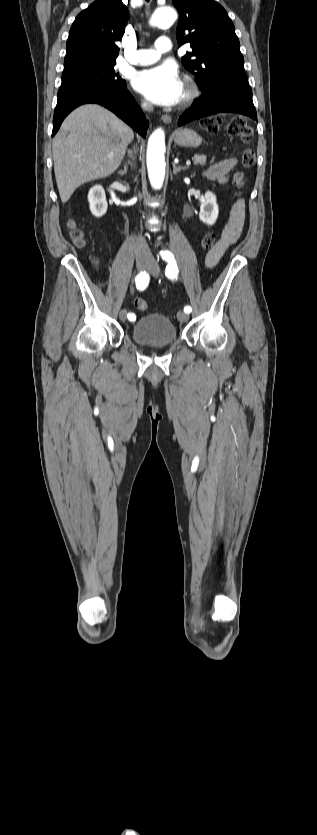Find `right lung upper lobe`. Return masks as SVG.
Wrapping results in <instances>:
<instances>
[{
  "mask_svg": "<svg viewBox=\"0 0 317 835\" xmlns=\"http://www.w3.org/2000/svg\"><path fill=\"white\" fill-rule=\"evenodd\" d=\"M129 12L121 0H96L75 19L69 32L65 61L93 59L115 62Z\"/></svg>",
  "mask_w": 317,
  "mask_h": 835,
  "instance_id": "1",
  "label": "right lung upper lobe"
}]
</instances>
